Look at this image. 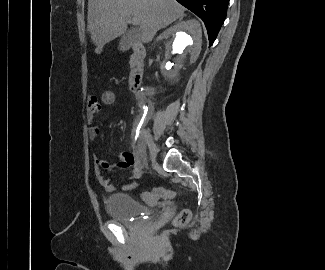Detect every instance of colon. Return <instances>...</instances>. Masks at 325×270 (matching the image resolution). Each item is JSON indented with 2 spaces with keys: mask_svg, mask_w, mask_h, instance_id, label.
I'll list each match as a JSON object with an SVG mask.
<instances>
[{
  "mask_svg": "<svg viewBox=\"0 0 325 270\" xmlns=\"http://www.w3.org/2000/svg\"><path fill=\"white\" fill-rule=\"evenodd\" d=\"M116 96L112 90H105L101 94V102L105 106H111L115 103ZM174 195L173 191L164 187H157L151 191L143 193V199L149 203H154L160 199H169ZM191 212L188 209L181 210L174 218L173 224L175 226H183L190 220Z\"/></svg>",
  "mask_w": 325,
  "mask_h": 270,
  "instance_id": "5ec220e1",
  "label": "colon"
}]
</instances>
